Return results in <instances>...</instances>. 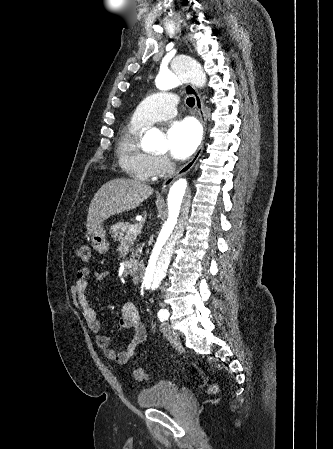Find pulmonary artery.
Here are the masks:
<instances>
[{
  "instance_id": "pulmonary-artery-1",
  "label": "pulmonary artery",
  "mask_w": 333,
  "mask_h": 449,
  "mask_svg": "<svg viewBox=\"0 0 333 449\" xmlns=\"http://www.w3.org/2000/svg\"><path fill=\"white\" fill-rule=\"evenodd\" d=\"M177 96L168 92H159L144 99L134 112V119L143 125L167 120L176 115Z\"/></svg>"
}]
</instances>
